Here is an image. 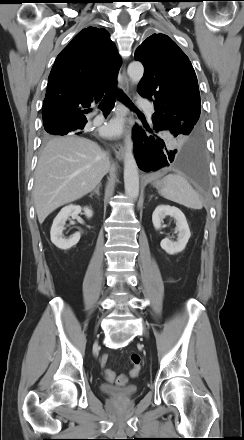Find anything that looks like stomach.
<instances>
[{
	"label": "stomach",
	"mask_w": 244,
	"mask_h": 440,
	"mask_svg": "<svg viewBox=\"0 0 244 440\" xmlns=\"http://www.w3.org/2000/svg\"><path fill=\"white\" fill-rule=\"evenodd\" d=\"M162 176H163L162 172H157V173H154L151 175V180H152L153 186H155V187L160 186L161 181H162V179H161Z\"/></svg>",
	"instance_id": "1"
}]
</instances>
